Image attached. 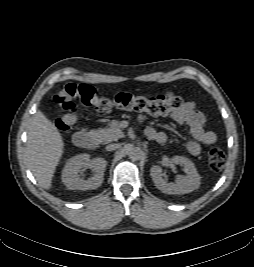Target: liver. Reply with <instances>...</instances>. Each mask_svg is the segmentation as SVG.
<instances>
[{"mask_svg":"<svg viewBox=\"0 0 254 267\" xmlns=\"http://www.w3.org/2000/svg\"><path fill=\"white\" fill-rule=\"evenodd\" d=\"M64 152L63 138L55 125L38 110L30 123L27 163L39 185L50 189L56 167Z\"/></svg>","mask_w":254,"mask_h":267,"instance_id":"6515ba94","label":"liver"}]
</instances>
